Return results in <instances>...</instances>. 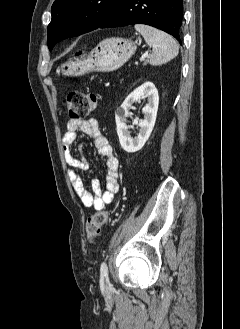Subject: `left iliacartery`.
<instances>
[{
    "label": "left iliac artery",
    "mask_w": 240,
    "mask_h": 329,
    "mask_svg": "<svg viewBox=\"0 0 240 329\" xmlns=\"http://www.w3.org/2000/svg\"><path fill=\"white\" fill-rule=\"evenodd\" d=\"M100 273H101V276H103V277H106L108 275V267L105 262L101 263Z\"/></svg>",
    "instance_id": "left-iliac-artery-1"
}]
</instances>
